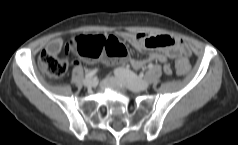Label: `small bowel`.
<instances>
[{
    "instance_id": "1",
    "label": "small bowel",
    "mask_w": 238,
    "mask_h": 145,
    "mask_svg": "<svg viewBox=\"0 0 238 145\" xmlns=\"http://www.w3.org/2000/svg\"><path fill=\"white\" fill-rule=\"evenodd\" d=\"M118 36L129 42L136 50L146 53L147 57L144 59L129 58L127 62L131 64L134 69L144 67L149 61H157L164 64V72L167 75L171 74V67L168 60L176 56L186 57L190 54L189 48L182 39L173 38L169 35L149 36L144 33L132 34L129 32L119 31ZM56 46L54 54L58 55L61 52L62 40L60 38L52 39L48 45L47 50L51 51L52 46ZM159 48H165L159 50ZM101 57L97 60L99 61ZM86 61L87 63H95ZM76 65L79 61L75 62Z\"/></svg>"
}]
</instances>
